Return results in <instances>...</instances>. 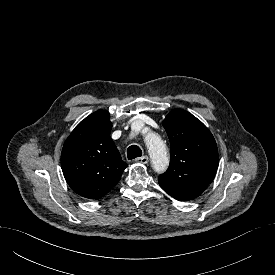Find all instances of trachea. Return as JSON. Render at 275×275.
<instances>
[{
    "label": "trachea",
    "instance_id": "1",
    "mask_svg": "<svg viewBox=\"0 0 275 275\" xmlns=\"http://www.w3.org/2000/svg\"><path fill=\"white\" fill-rule=\"evenodd\" d=\"M142 156V150L137 145H131L127 149V157L132 160L134 158Z\"/></svg>",
    "mask_w": 275,
    "mask_h": 275
}]
</instances>
